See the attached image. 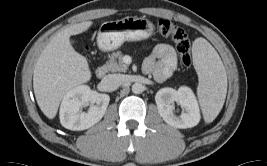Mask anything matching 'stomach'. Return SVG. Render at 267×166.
Here are the masks:
<instances>
[{
	"mask_svg": "<svg viewBox=\"0 0 267 166\" xmlns=\"http://www.w3.org/2000/svg\"><path fill=\"white\" fill-rule=\"evenodd\" d=\"M153 23L145 18L128 16L121 20L104 22L97 35V45L102 51H113L125 41H141L149 38Z\"/></svg>",
	"mask_w": 267,
	"mask_h": 166,
	"instance_id": "obj_1",
	"label": "stomach"
}]
</instances>
